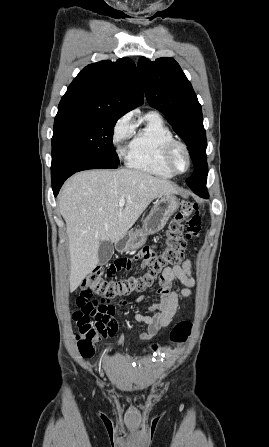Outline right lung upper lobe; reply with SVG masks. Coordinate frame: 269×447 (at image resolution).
Returning <instances> with one entry per match:
<instances>
[{"mask_svg": "<svg viewBox=\"0 0 269 447\" xmlns=\"http://www.w3.org/2000/svg\"><path fill=\"white\" fill-rule=\"evenodd\" d=\"M136 66L129 58L104 60L85 67L62 97L57 115L121 117L143 103Z\"/></svg>", "mask_w": 269, "mask_h": 447, "instance_id": "cb5924a9", "label": "right lung upper lobe"}]
</instances>
